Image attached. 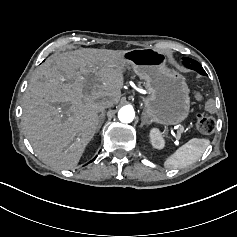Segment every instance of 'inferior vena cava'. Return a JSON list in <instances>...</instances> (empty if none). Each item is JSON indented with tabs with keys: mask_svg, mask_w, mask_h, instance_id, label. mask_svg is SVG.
Segmentation results:
<instances>
[{
	"mask_svg": "<svg viewBox=\"0 0 237 237\" xmlns=\"http://www.w3.org/2000/svg\"><path fill=\"white\" fill-rule=\"evenodd\" d=\"M113 106V102L111 100H103L101 102V108L105 109V108H109Z\"/></svg>",
	"mask_w": 237,
	"mask_h": 237,
	"instance_id": "obj_1",
	"label": "inferior vena cava"
}]
</instances>
